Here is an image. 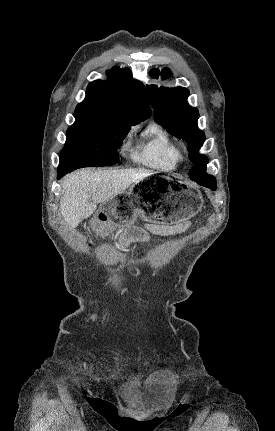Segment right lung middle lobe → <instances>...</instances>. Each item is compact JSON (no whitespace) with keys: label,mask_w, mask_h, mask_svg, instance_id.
Here are the masks:
<instances>
[{"label":"right lung middle lobe","mask_w":275,"mask_h":431,"mask_svg":"<svg viewBox=\"0 0 275 431\" xmlns=\"http://www.w3.org/2000/svg\"><path fill=\"white\" fill-rule=\"evenodd\" d=\"M130 126L112 118L76 119L67 130L58 170L71 172L81 167L115 164L117 149Z\"/></svg>","instance_id":"1"}]
</instances>
